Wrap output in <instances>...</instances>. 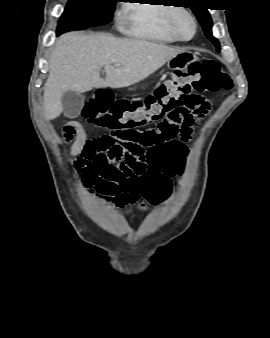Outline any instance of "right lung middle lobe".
<instances>
[{"label":"right lung middle lobe","instance_id":"right-lung-middle-lobe-1","mask_svg":"<svg viewBox=\"0 0 270 338\" xmlns=\"http://www.w3.org/2000/svg\"><path fill=\"white\" fill-rule=\"evenodd\" d=\"M117 1L119 0H69L60 17L57 35L110 22Z\"/></svg>","mask_w":270,"mask_h":338}]
</instances>
